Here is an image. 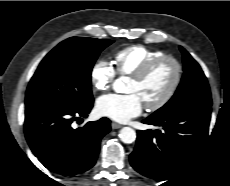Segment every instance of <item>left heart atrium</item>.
<instances>
[{
	"label": "left heart atrium",
	"instance_id": "left-heart-atrium-1",
	"mask_svg": "<svg viewBox=\"0 0 230 186\" xmlns=\"http://www.w3.org/2000/svg\"><path fill=\"white\" fill-rule=\"evenodd\" d=\"M143 107V102L135 93L105 95L96 104L99 115L122 123L140 115Z\"/></svg>",
	"mask_w": 230,
	"mask_h": 186
}]
</instances>
